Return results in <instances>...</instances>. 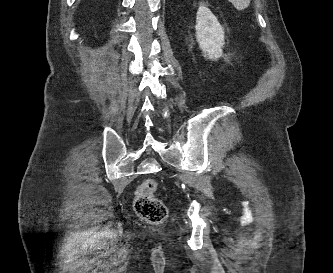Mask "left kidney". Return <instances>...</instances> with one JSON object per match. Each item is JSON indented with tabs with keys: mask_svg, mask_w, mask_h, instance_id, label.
<instances>
[{
	"mask_svg": "<svg viewBox=\"0 0 333 273\" xmlns=\"http://www.w3.org/2000/svg\"><path fill=\"white\" fill-rule=\"evenodd\" d=\"M195 29L196 39L203 51V56L211 60L220 58L225 44L224 30L215 15L205 5H201L197 11Z\"/></svg>",
	"mask_w": 333,
	"mask_h": 273,
	"instance_id": "left-kidney-1",
	"label": "left kidney"
}]
</instances>
